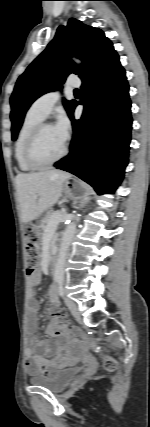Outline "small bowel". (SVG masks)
<instances>
[{
	"mask_svg": "<svg viewBox=\"0 0 150 427\" xmlns=\"http://www.w3.org/2000/svg\"><path fill=\"white\" fill-rule=\"evenodd\" d=\"M46 253H43V259L46 260ZM42 270L46 271L45 263L42 265ZM41 280V273L36 270L30 275L29 284L31 288L36 287ZM49 299L53 304L58 306L59 300L57 291L54 285L49 290ZM38 310L39 302L30 295L28 314L26 317L25 328L27 334V348L25 350L26 369L30 375H47L62 365L68 356H76L81 353L82 348L79 344L73 343L67 337H62L59 340L52 342L49 339L36 340V332L38 329ZM34 348L41 351L42 354H36Z\"/></svg>",
	"mask_w": 150,
	"mask_h": 427,
	"instance_id": "1",
	"label": "small bowel"
}]
</instances>
